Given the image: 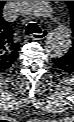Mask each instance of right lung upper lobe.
Returning a JSON list of instances; mask_svg holds the SVG:
<instances>
[{"label": "right lung upper lobe", "mask_w": 74, "mask_h": 122, "mask_svg": "<svg viewBox=\"0 0 74 122\" xmlns=\"http://www.w3.org/2000/svg\"><path fill=\"white\" fill-rule=\"evenodd\" d=\"M5 2L0 1V73L5 72L15 62L20 46L15 42L11 26L2 18Z\"/></svg>", "instance_id": "obj_1"}]
</instances>
